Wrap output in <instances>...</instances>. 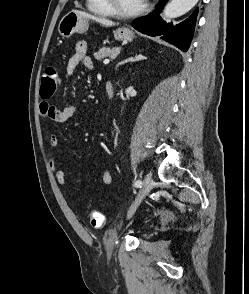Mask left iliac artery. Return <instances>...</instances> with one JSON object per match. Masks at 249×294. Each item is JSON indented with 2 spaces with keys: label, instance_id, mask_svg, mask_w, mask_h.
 Listing matches in <instances>:
<instances>
[{
  "label": "left iliac artery",
  "instance_id": "obj_1",
  "mask_svg": "<svg viewBox=\"0 0 249 294\" xmlns=\"http://www.w3.org/2000/svg\"><path fill=\"white\" fill-rule=\"evenodd\" d=\"M135 187H137V188H141L142 186H143V183H142V181H140V180H137L136 182H135Z\"/></svg>",
  "mask_w": 249,
  "mask_h": 294
}]
</instances>
